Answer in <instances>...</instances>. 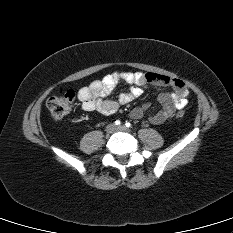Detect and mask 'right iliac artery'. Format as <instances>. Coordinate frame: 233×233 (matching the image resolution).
Here are the masks:
<instances>
[{"label": "right iliac artery", "instance_id": "1", "mask_svg": "<svg viewBox=\"0 0 233 233\" xmlns=\"http://www.w3.org/2000/svg\"><path fill=\"white\" fill-rule=\"evenodd\" d=\"M120 124H121L120 120L115 121V125H120Z\"/></svg>", "mask_w": 233, "mask_h": 233}]
</instances>
